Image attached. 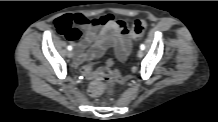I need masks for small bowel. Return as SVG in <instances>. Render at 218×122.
<instances>
[{"mask_svg":"<svg viewBox=\"0 0 218 122\" xmlns=\"http://www.w3.org/2000/svg\"><path fill=\"white\" fill-rule=\"evenodd\" d=\"M74 23L80 26L85 35L81 41L72 40L76 48V62H91L102 57L105 52L113 48L118 60L125 61L132 46V33L123 20H119L117 11L87 18L81 14L73 16ZM90 46L86 51V47Z\"/></svg>","mask_w":218,"mask_h":122,"instance_id":"1","label":"small bowel"}]
</instances>
